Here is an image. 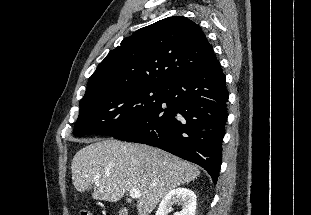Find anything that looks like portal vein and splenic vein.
Returning <instances> with one entry per match:
<instances>
[{"label": "portal vein and splenic vein", "instance_id": "portal-vein-and-splenic-vein-1", "mask_svg": "<svg viewBox=\"0 0 311 215\" xmlns=\"http://www.w3.org/2000/svg\"><path fill=\"white\" fill-rule=\"evenodd\" d=\"M99 178H100V175L97 174L95 176V180H99ZM129 195L133 199H137L141 196L140 191L138 189H135V188L130 190Z\"/></svg>", "mask_w": 311, "mask_h": 215}]
</instances>
